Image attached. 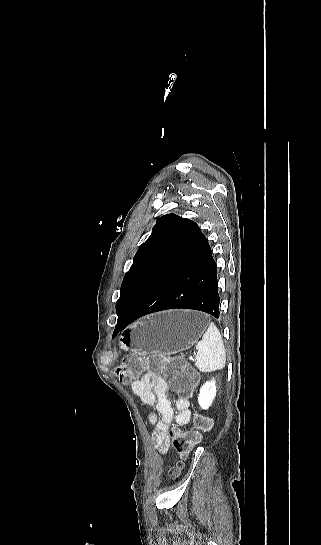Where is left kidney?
Returning <instances> with one entry per match:
<instances>
[{"mask_svg": "<svg viewBox=\"0 0 321 545\" xmlns=\"http://www.w3.org/2000/svg\"><path fill=\"white\" fill-rule=\"evenodd\" d=\"M216 393L217 391L214 379H212V381H207V383L201 387L198 395V403L201 409H209V407H211L216 397Z\"/></svg>", "mask_w": 321, "mask_h": 545, "instance_id": "obj_1", "label": "left kidney"}]
</instances>
